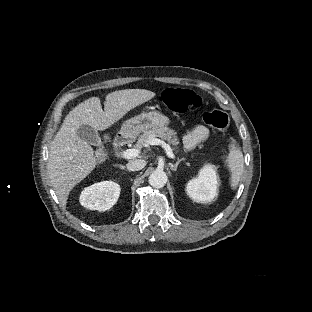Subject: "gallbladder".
I'll list each match as a JSON object with an SVG mask.
<instances>
[{
	"instance_id": "obj_1",
	"label": "gallbladder",
	"mask_w": 312,
	"mask_h": 312,
	"mask_svg": "<svg viewBox=\"0 0 312 312\" xmlns=\"http://www.w3.org/2000/svg\"><path fill=\"white\" fill-rule=\"evenodd\" d=\"M77 135L85 142L91 145L99 146L101 147V144H98V141L100 140L97 130L92 128L89 125H81L77 129ZM103 149V148H102Z\"/></svg>"
}]
</instances>
